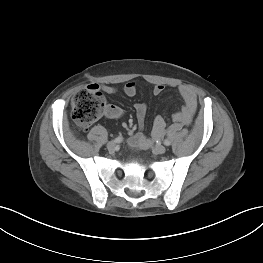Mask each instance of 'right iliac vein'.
<instances>
[{"label":"right iliac vein","mask_w":263,"mask_h":263,"mask_svg":"<svg viewBox=\"0 0 263 263\" xmlns=\"http://www.w3.org/2000/svg\"><path fill=\"white\" fill-rule=\"evenodd\" d=\"M116 148V143L114 141H110L107 143V149L109 151H114Z\"/></svg>","instance_id":"63e3f726"}]
</instances>
